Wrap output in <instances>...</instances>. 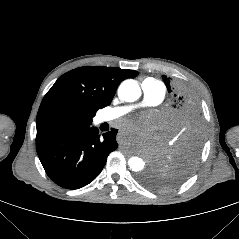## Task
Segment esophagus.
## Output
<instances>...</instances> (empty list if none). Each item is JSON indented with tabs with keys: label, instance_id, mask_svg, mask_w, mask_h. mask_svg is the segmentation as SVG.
<instances>
[{
	"label": "esophagus",
	"instance_id": "1",
	"mask_svg": "<svg viewBox=\"0 0 239 239\" xmlns=\"http://www.w3.org/2000/svg\"><path fill=\"white\" fill-rule=\"evenodd\" d=\"M115 139L119 142H124L126 140V135L122 132H117L115 134Z\"/></svg>",
	"mask_w": 239,
	"mask_h": 239
}]
</instances>
